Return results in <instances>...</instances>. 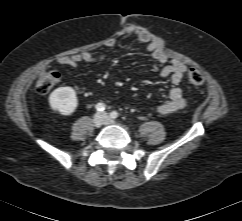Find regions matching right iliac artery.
I'll use <instances>...</instances> for the list:
<instances>
[{
  "mask_svg": "<svg viewBox=\"0 0 242 221\" xmlns=\"http://www.w3.org/2000/svg\"><path fill=\"white\" fill-rule=\"evenodd\" d=\"M96 110L97 111H104L106 109V106L105 104L103 103H98L96 106H95Z\"/></svg>",
  "mask_w": 242,
  "mask_h": 221,
  "instance_id": "right-iliac-artery-1",
  "label": "right iliac artery"
}]
</instances>
